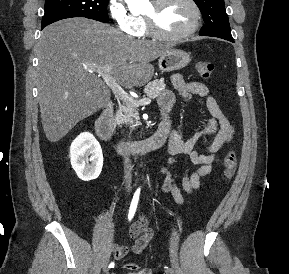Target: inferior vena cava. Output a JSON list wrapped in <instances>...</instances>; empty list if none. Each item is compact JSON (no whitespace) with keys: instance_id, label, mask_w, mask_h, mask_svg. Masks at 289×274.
<instances>
[{"instance_id":"1","label":"inferior vena cava","mask_w":289,"mask_h":274,"mask_svg":"<svg viewBox=\"0 0 289 274\" xmlns=\"http://www.w3.org/2000/svg\"><path fill=\"white\" fill-rule=\"evenodd\" d=\"M132 169L133 166L131 165V161L128 156H124V182L126 185L127 191L131 190V183H132Z\"/></svg>"}]
</instances>
